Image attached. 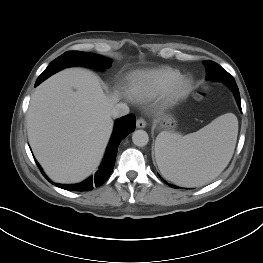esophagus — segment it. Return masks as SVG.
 <instances>
[{"label": "esophagus", "mask_w": 263, "mask_h": 263, "mask_svg": "<svg viewBox=\"0 0 263 263\" xmlns=\"http://www.w3.org/2000/svg\"><path fill=\"white\" fill-rule=\"evenodd\" d=\"M137 128H144L146 126V121L143 118H139L136 121Z\"/></svg>", "instance_id": "1"}]
</instances>
